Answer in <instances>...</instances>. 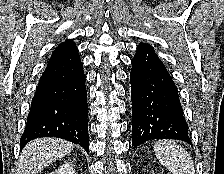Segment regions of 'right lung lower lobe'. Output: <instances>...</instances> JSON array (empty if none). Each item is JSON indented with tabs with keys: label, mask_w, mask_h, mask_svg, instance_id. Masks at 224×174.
Returning <instances> with one entry per match:
<instances>
[{
	"label": "right lung lower lobe",
	"mask_w": 224,
	"mask_h": 174,
	"mask_svg": "<svg viewBox=\"0 0 224 174\" xmlns=\"http://www.w3.org/2000/svg\"><path fill=\"white\" fill-rule=\"evenodd\" d=\"M87 91L78 52L50 60L31 102L20 149L39 137H58L89 150Z\"/></svg>",
	"instance_id": "obj_1"
}]
</instances>
